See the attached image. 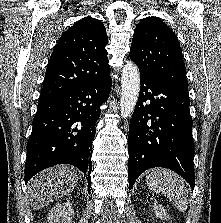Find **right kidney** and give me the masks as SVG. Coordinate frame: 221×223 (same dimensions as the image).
Masks as SVG:
<instances>
[{"instance_id":"1","label":"right kidney","mask_w":221,"mask_h":223,"mask_svg":"<svg viewBox=\"0 0 221 223\" xmlns=\"http://www.w3.org/2000/svg\"><path fill=\"white\" fill-rule=\"evenodd\" d=\"M74 211L70 202L55 205L48 214V223H71Z\"/></svg>"}]
</instances>
